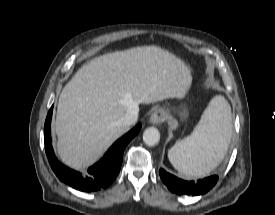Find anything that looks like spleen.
<instances>
[{
  "mask_svg": "<svg viewBox=\"0 0 275 215\" xmlns=\"http://www.w3.org/2000/svg\"><path fill=\"white\" fill-rule=\"evenodd\" d=\"M231 108L222 96L214 97L191 135L168 151L179 172L195 177L209 174L224 158L231 140Z\"/></svg>",
  "mask_w": 275,
  "mask_h": 215,
  "instance_id": "obj_1",
  "label": "spleen"
}]
</instances>
